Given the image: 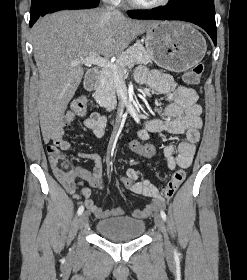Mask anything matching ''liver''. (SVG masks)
Instances as JSON below:
<instances>
[{"instance_id":"obj_1","label":"liver","mask_w":247,"mask_h":280,"mask_svg":"<svg viewBox=\"0 0 247 280\" xmlns=\"http://www.w3.org/2000/svg\"><path fill=\"white\" fill-rule=\"evenodd\" d=\"M156 21L132 20L104 9L60 11L32 27L33 53L39 71L40 127L48 143L84 71L73 61L91 53L106 58L120 54Z\"/></svg>"}]
</instances>
